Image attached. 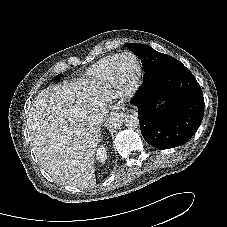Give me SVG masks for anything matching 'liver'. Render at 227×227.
<instances>
[{
	"instance_id": "liver-1",
	"label": "liver",
	"mask_w": 227,
	"mask_h": 227,
	"mask_svg": "<svg viewBox=\"0 0 227 227\" xmlns=\"http://www.w3.org/2000/svg\"><path fill=\"white\" fill-rule=\"evenodd\" d=\"M107 88L76 81L49 86L35 97L27 119L31 143L54 180L78 188L95 186L100 125L113 97Z\"/></svg>"
}]
</instances>
